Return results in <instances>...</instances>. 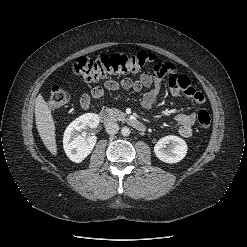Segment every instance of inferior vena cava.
<instances>
[{
    "label": "inferior vena cava",
    "mask_w": 247,
    "mask_h": 247,
    "mask_svg": "<svg viewBox=\"0 0 247 247\" xmlns=\"http://www.w3.org/2000/svg\"><path fill=\"white\" fill-rule=\"evenodd\" d=\"M105 130L108 134L110 135H114L118 132L119 130V125L118 123L114 122V121H110L106 124L105 126Z\"/></svg>",
    "instance_id": "obj_1"
}]
</instances>
